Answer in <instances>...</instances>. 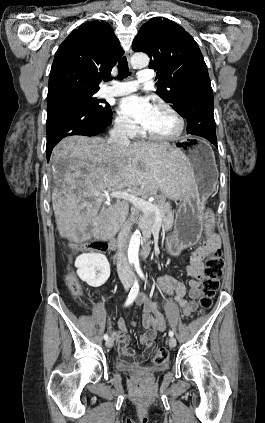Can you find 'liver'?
Instances as JSON below:
<instances>
[{
	"label": "liver",
	"mask_w": 265,
	"mask_h": 423,
	"mask_svg": "<svg viewBox=\"0 0 265 423\" xmlns=\"http://www.w3.org/2000/svg\"><path fill=\"white\" fill-rule=\"evenodd\" d=\"M51 163L57 229L76 243L110 239L122 227L129 203L123 199L107 205L112 192L136 197L161 192L171 200L185 192L181 157L166 142L123 146L100 137L71 136L53 149Z\"/></svg>",
	"instance_id": "1"
}]
</instances>
